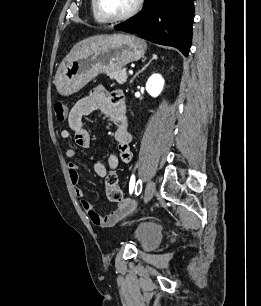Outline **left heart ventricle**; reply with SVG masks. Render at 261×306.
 <instances>
[{
    "label": "left heart ventricle",
    "instance_id": "b2bd125f",
    "mask_svg": "<svg viewBox=\"0 0 261 306\" xmlns=\"http://www.w3.org/2000/svg\"><path fill=\"white\" fill-rule=\"evenodd\" d=\"M136 0H100L103 11L109 16H120L128 12Z\"/></svg>",
    "mask_w": 261,
    "mask_h": 306
}]
</instances>
